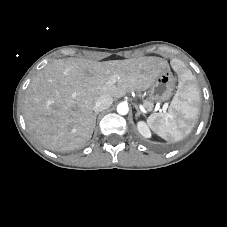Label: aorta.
<instances>
[{"label": "aorta", "mask_w": 227, "mask_h": 227, "mask_svg": "<svg viewBox=\"0 0 227 227\" xmlns=\"http://www.w3.org/2000/svg\"><path fill=\"white\" fill-rule=\"evenodd\" d=\"M129 111V107L126 103H120L118 104L117 106V112L120 114V115H126Z\"/></svg>", "instance_id": "aorta-1"}]
</instances>
